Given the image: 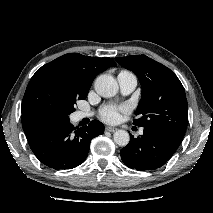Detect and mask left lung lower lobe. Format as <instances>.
I'll return each mask as SVG.
<instances>
[{
    "mask_svg": "<svg viewBox=\"0 0 213 213\" xmlns=\"http://www.w3.org/2000/svg\"><path fill=\"white\" fill-rule=\"evenodd\" d=\"M183 136L172 131L144 127L143 135H130L129 144L121 149L123 163L137 171L153 170L165 164L175 153Z\"/></svg>",
    "mask_w": 213,
    "mask_h": 213,
    "instance_id": "1",
    "label": "left lung lower lobe"
}]
</instances>
